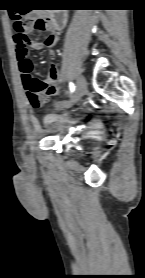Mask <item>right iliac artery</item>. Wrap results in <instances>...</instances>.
Instances as JSON below:
<instances>
[{"label": "right iliac artery", "instance_id": "obj_1", "mask_svg": "<svg viewBox=\"0 0 145 278\" xmlns=\"http://www.w3.org/2000/svg\"><path fill=\"white\" fill-rule=\"evenodd\" d=\"M69 87H70L71 93H73L75 91V85L72 82H70Z\"/></svg>", "mask_w": 145, "mask_h": 278}]
</instances>
